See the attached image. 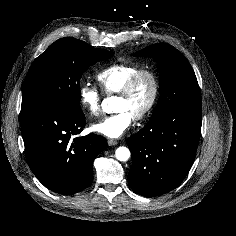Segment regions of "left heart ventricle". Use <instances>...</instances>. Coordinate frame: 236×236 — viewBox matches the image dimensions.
<instances>
[{"mask_svg": "<svg viewBox=\"0 0 236 236\" xmlns=\"http://www.w3.org/2000/svg\"><path fill=\"white\" fill-rule=\"evenodd\" d=\"M152 93V84L148 77H142L133 92L125 98L118 97L116 101V110H126L135 116L138 112L143 110Z\"/></svg>", "mask_w": 236, "mask_h": 236, "instance_id": "b2bd125f", "label": "left heart ventricle"}]
</instances>
